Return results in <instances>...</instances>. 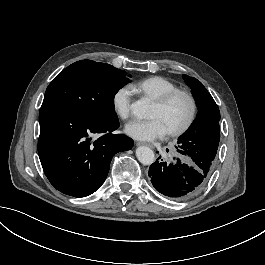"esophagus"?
<instances>
[{"mask_svg":"<svg viewBox=\"0 0 265 265\" xmlns=\"http://www.w3.org/2000/svg\"><path fill=\"white\" fill-rule=\"evenodd\" d=\"M136 145L137 146H147V147H149L151 149H154V146L152 144L146 143V142H137Z\"/></svg>","mask_w":265,"mask_h":265,"instance_id":"1","label":"esophagus"}]
</instances>
